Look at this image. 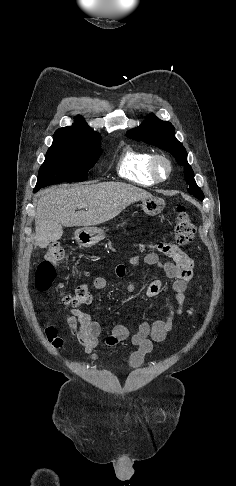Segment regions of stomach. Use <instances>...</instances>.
<instances>
[{
    "instance_id": "obj_1",
    "label": "stomach",
    "mask_w": 236,
    "mask_h": 486,
    "mask_svg": "<svg viewBox=\"0 0 236 486\" xmlns=\"http://www.w3.org/2000/svg\"><path fill=\"white\" fill-rule=\"evenodd\" d=\"M165 202L161 198L152 197L142 200L143 211L150 216L158 215L163 211ZM105 238V232L101 228L84 226L75 231V240L81 247H92Z\"/></svg>"
}]
</instances>
